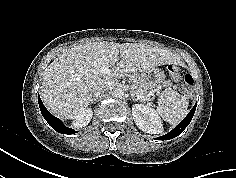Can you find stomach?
<instances>
[{
	"label": "stomach",
	"instance_id": "obj_1",
	"mask_svg": "<svg viewBox=\"0 0 236 178\" xmlns=\"http://www.w3.org/2000/svg\"><path fill=\"white\" fill-rule=\"evenodd\" d=\"M140 85L147 92L156 89L165 79L164 72L155 67L147 71L140 72L137 76Z\"/></svg>",
	"mask_w": 236,
	"mask_h": 178
}]
</instances>
